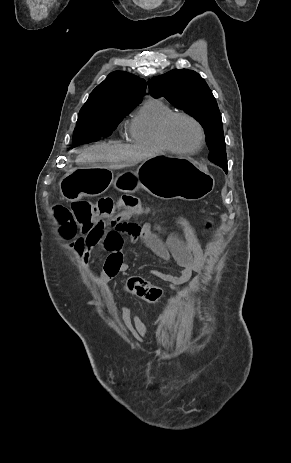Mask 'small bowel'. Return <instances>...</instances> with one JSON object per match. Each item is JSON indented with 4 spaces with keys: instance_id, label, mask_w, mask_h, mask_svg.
<instances>
[{
    "instance_id": "obj_1",
    "label": "small bowel",
    "mask_w": 291,
    "mask_h": 463,
    "mask_svg": "<svg viewBox=\"0 0 291 463\" xmlns=\"http://www.w3.org/2000/svg\"><path fill=\"white\" fill-rule=\"evenodd\" d=\"M136 213V210H130L128 217L121 215L113 229H95L84 233L74 243L76 254L86 263L91 250L95 248L107 253L108 256L99 280H110L119 273L128 271L131 266L123 251V236L128 235L131 241L142 240L163 262L169 263L174 260L182 268L179 275L152 270L151 276L168 284L184 302H190L182 286L188 284L192 293L197 294L201 292L207 281L203 249L191 221L187 216L177 214L175 222L181 230V237L170 234L167 240L163 241L152 224L139 225L130 220ZM131 322L134 330L140 333L138 321L133 318Z\"/></svg>"
}]
</instances>
